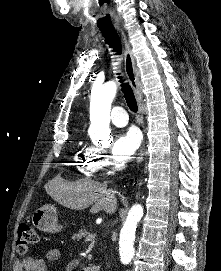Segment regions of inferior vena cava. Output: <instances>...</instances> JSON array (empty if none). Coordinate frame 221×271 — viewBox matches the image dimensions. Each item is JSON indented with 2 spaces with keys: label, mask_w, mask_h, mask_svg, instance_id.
I'll return each instance as SVG.
<instances>
[{
  "label": "inferior vena cava",
  "mask_w": 221,
  "mask_h": 271,
  "mask_svg": "<svg viewBox=\"0 0 221 271\" xmlns=\"http://www.w3.org/2000/svg\"><path fill=\"white\" fill-rule=\"evenodd\" d=\"M108 193H107V197H114V191L112 189V187H110V189H107Z\"/></svg>",
  "instance_id": "obj_1"
}]
</instances>
